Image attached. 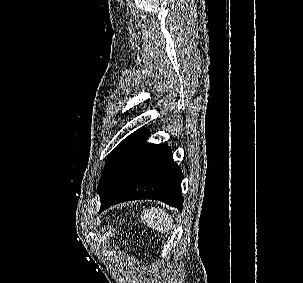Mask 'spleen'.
Returning a JSON list of instances; mask_svg holds the SVG:
<instances>
[{
    "mask_svg": "<svg viewBox=\"0 0 303 283\" xmlns=\"http://www.w3.org/2000/svg\"><path fill=\"white\" fill-rule=\"evenodd\" d=\"M141 219L147 226L161 233L168 234L173 226L172 216L162 208L152 207L145 210L141 215Z\"/></svg>",
    "mask_w": 303,
    "mask_h": 283,
    "instance_id": "obj_1",
    "label": "spleen"
}]
</instances>
